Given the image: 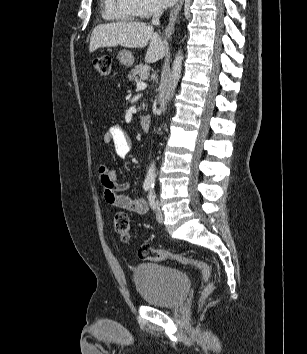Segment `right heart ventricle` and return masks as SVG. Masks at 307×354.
Returning a JSON list of instances; mask_svg holds the SVG:
<instances>
[{
    "label": "right heart ventricle",
    "mask_w": 307,
    "mask_h": 354,
    "mask_svg": "<svg viewBox=\"0 0 307 354\" xmlns=\"http://www.w3.org/2000/svg\"><path fill=\"white\" fill-rule=\"evenodd\" d=\"M102 15L107 20L132 21L138 17L131 0H103Z\"/></svg>",
    "instance_id": "1"
}]
</instances>
